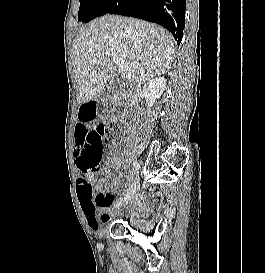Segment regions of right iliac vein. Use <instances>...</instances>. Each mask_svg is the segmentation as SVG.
<instances>
[{"instance_id":"right-iliac-vein-1","label":"right iliac vein","mask_w":265,"mask_h":273,"mask_svg":"<svg viewBox=\"0 0 265 273\" xmlns=\"http://www.w3.org/2000/svg\"><path fill=\"white\" fill-rule=\"evenodd\" d=\"M139 189V181H138V178L135 180V182L133 183V185L131 186V189L130 191L128 192V194L124 197V199H121L117 204H116V207H120L122 206L123 204H126L128 203L129 201H131L136 192L138 191Z\"/></svg>"}]
</instances>
